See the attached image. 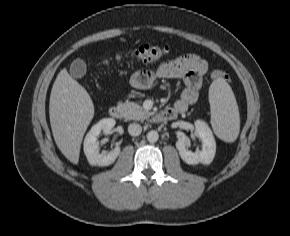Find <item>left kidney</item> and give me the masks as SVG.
I'll return each mask as SVG.
<instances>
[{
	"label": "left kidney",
	"instance_id": "obj_1",
	"mask_svg": "<svg viewBox=\"0 0 290 236\" xmlns=\"http://www.w3.org/2000/svg\"><path fill=\"white\" fill-rule=\"evenodd\" d=\"M195 135L203 143L201 151L191 152L187 149V144L190 141L187 136H182L178 139L176 148L179 151L181 159L187 164L195 165L202 163L208 165L213 161L216 152V143L212 131L204 121L197 120L195 122Z\"/></svg>",
	"mask_w": 290,
	"mask_h": 236
}]
</instances>
